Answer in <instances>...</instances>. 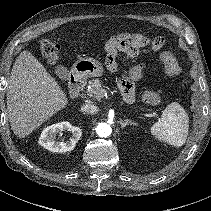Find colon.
Returning <instances> with one entry per match:
<instances>
[{
  "label": "colon",
  "mask_w": 211,
  "mask_h": 211,
  "mask_svg": "<svg viewBox=\"0 0 211 211\" xmlns=\"http://www.w3.org/2000/svg\"><path fill=\"white\" fill-rule=\"evenodd\" d=\"M112 44L104 47L101 56L109 69L116 66V57L119 52L129 56H137L146 50V45H150L153 50L164 48L166 41L163 37L155 36L147 38L140 33L127 34L122 32L114 36ZM42 55L47 61L54 65L59 61L60 48L48 39H44L39 44ZM160 58L164 64L165 73L168 77H175L179 74L180 68L176 59L169 53L162 51ZM143 100L149 105H158L162 101V94L159 90L147 91L143 95Z\"/></svg>",
  "instance_id": "colon-1"
}]
</instances>
